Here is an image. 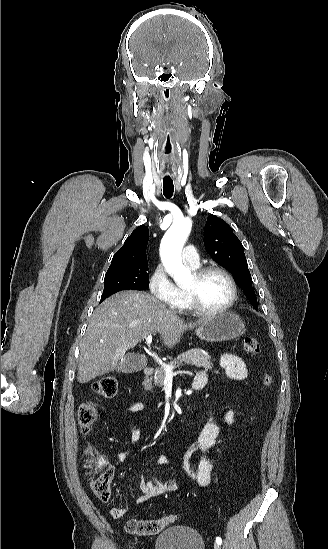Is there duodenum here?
Returning <instances> with one entry per match:
<instances>
[{
    "instance_id": "1",
    "label": "duodenum",
    "mask_w": 328,
    "mask_h": 549,
    "mask_svg": "<svg viewBox=\"0 0 328 549\" xmlns=\"http://www.w3.org/2000/svg\"><path fill=\"white\" fill-rule=\"evenodd\" d=\"M143 373L146 377L151 376L154 373V368L150 366L145 367L143 370ZM205 384H206L205 376H196L192 384V389L198 391L202 389L205 386Z\"/></svg>"
}]
</instances>
